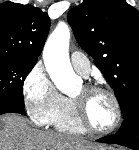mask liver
<instances>
[{"mask_svg":"<svg viewBox=\"0 0 139 150\" xmlns=\"http://www.w3.org/2000/svg\"><path fill=\"white\" fill-rule=\"evenodd\" d=\"M91 142L69 134L32 128L17 114L0 117V150H94Z\"/></svg>","mask_w":139,"mask_h":150,"instance_id":"6515ba94","label":"liver"}]
</instances>
